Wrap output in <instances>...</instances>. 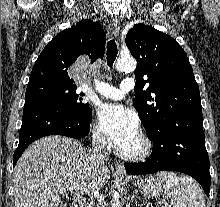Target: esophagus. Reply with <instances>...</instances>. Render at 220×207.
Segmentation results:
<instances>
[{"mask_svg": "<svg viewBox=\"0 0 220 207\" xmlns=\"http://www.w3.org/2000/svg\"><path fill=\"white\" fill-rule=\"evenodd\" d=\"M112 33L114 36H118L120 32V22L118 19H112L111 21ZM115 169L119 174L126 175V170L121 163L115 165Z\"/></svg>", "mask_w": 220, "mask_h": 207, "instance_id": "1", "label": "esophagus"}]
</instances>
